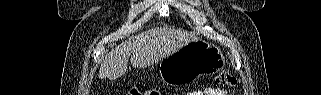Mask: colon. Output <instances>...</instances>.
<instances>
[{"label": "colon", "mask_w": 321, "mask_h": 95, "mask_svg": "<svg viewBox=\"0 0 321 95\" xmlns=\"http://www.w3.org/2000/svg\"><path fill=\"white\" fill-rule=\"evenodd\" d=\"M216 82L223 86H234L237 82L236 78L227 71H221L217 77ZM130 95H142L143 93L140 92L137 88H132L130 90ZM144 94L147 95H158L159 93L156 90H150L145 92Z\"/></svg>", "instance_id": "obj_1"}]
</instances>
